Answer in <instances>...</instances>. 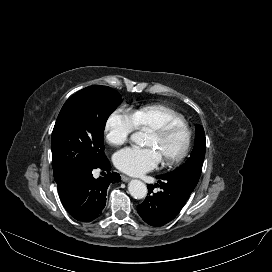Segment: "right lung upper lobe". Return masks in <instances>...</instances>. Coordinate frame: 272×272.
I'll list each match as a JSON object with an SVG mask.
<instances>
[{
  "label": "right lung upper lobe",
  "mask_w": 272,
  "mask_h": 272,
  "mask_svg": "<svg viewBox=\"0 0 272 272\" xmlns=\"http://www.w3.org/2000/svg\"><path fill=\"white\" fill-rule=\"evenodd\" d=\"M66 180H67V179H65V178L55 179V181H56L58 187L61 186L62 184H64Z\"/></svg>",
  "instance_id": "right-lung-upper-lobe-1"
}]
</instances>
